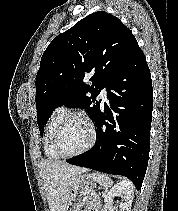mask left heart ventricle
<instances>
[{
    "mask_svg": "<svg viewBox=\"0 0 178 211\" xmlns=\"http://www.w3.org/2000/svg\"><path fill=\"white\" fill-rule=\"evenodd\" d=\"M89 140V128L87 124L77 118L71 119L62 129L58 145L62 153L72 154L85 147Z\"/></svg>",
    "mask_w": 178,
    "mask_h": 211,
    "instance_id": "1",
    "label": "left heart ventricle"
}]
</instances>
